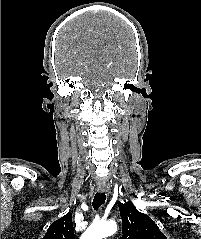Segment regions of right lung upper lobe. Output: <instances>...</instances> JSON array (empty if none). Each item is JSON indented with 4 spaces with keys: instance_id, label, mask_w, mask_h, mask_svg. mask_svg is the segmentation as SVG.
<instances>
[{
    "instance_id": "cb5924a9",
    "label": "right lung upper lobe",
    "mask_w": 201,
    "mask_h": 239,
    "mask_svg": "<svg viewBox=\"0 0 201 239\" xmlns=\"http://www.w3.org/2000/svg\"><path fill=\"white\" fill-rule=\"evenodd\" d=\"M72 214L69 211L65 216L53 222L42 239H74Z\"/></svg>"
}]
</instances>
